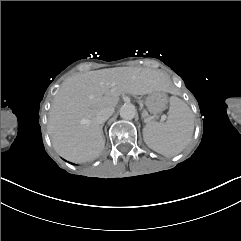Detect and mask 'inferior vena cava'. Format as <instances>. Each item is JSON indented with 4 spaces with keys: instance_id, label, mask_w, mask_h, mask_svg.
Returning a JSON list of instances; mask_svg holds the SVG:
<instances>
[{
    "instance_id": "inferior-vena-cava-1",
    "label": "inferior vena cava",
    "mask_w": 241,
    "mask_h": 241,
    "mask_svg": "<svg viewBox=\"0 0 241 241\" xmlns=\"http://www.w3.org/2000/svg\"><path fill=\"white\" fill-rule=\"evenodd\" d=\"M114 112L113 108H106L101 110L95 117V121L97 124H103Z\"/></svg>"
}]
</instances>
